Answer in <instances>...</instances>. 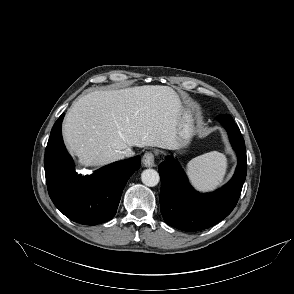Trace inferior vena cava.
Instances as JSON below:
<instances>
[{"label":"inferior vena cava","instance_id":"obj_1","mask_svg":"<svg viewBox=\"0 0 294 294\" xmlns=\"http://www.w3.org/2000/svg\"><path fill=\"white\" fill-rule=\"evenodd\" d=\"M121 154L123 155V157H132L135 153L131 148H127L124 151H122Z\"/></svg>","mask_w":294,"mask_h":294}]
</instances>
